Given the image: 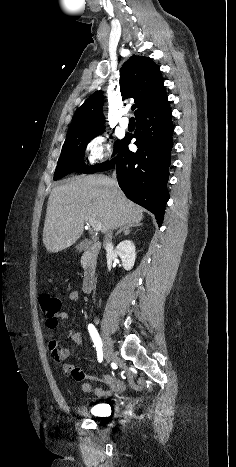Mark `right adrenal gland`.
I'll return each instance as SVG.
<instances>
[{
	"label": "right adrenal gland",
	"instance_id": "obj_1",
	"mask_svg": "<svg viewBox=\"0 0 236 467\" xmlns=\"http://www.w3.org/2000/svg\"><path fill=\"white\" fill-rule=\"evenodd\" d=\"M141 224L140 223H135V224H131V225H127V226H124L122 227L117 233H116V236H118L120 233H124L125 235L129 234L130 233V228L132 227H140Z\"/></svg>",
	"mask_w": 236,
	"mask_h": 467
}]
</instances>
